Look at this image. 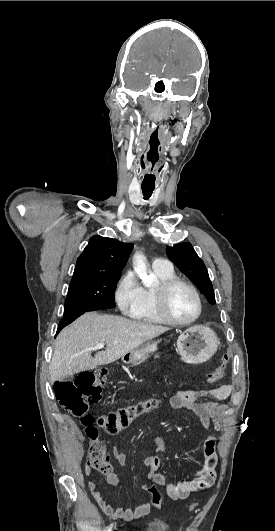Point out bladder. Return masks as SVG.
Wrapping results in <instances>:
<instances>
[{
    "label": "bladder",
    "instance_id": "31cf9c89",
    "mask_svg": "<svg viewBox=\"0 0 275 531\" xmlns=\"http://www.w3.org/2000/svg\"><path fill=\"white\" fill-rule=\"evenodd\" d=\"M170 524L163 517H155L147 520L144 525V531H169Z\"/></svg>",
    "mask_w": 275,
    "mask_h": 531
}]
</instances>
